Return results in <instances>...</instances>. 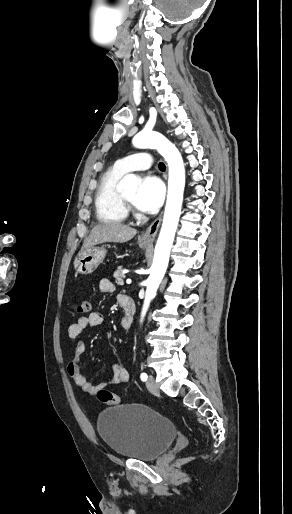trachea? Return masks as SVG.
Returning a JSON list of instances; mask_svg holds the SVG:
<instances>
[{
    "label": "trachea",
    "mask_w": 292,
    "mask_h": 514,
    "mask_svg": "<svg viewBox=\"0 0 292 514\" xmlns=\"http://www.w3.org/2000/svg\"><path fill=\"white\" fill-rule=\"evenodd\" d=\"M159 169L160 170H165L166 169V166H165V164L163 162L159 163Z\"/></svg>",
    "instance_id": "3493384b"
}]
</instances>
